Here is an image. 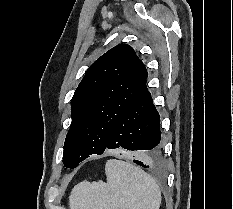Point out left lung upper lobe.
I'll list each match as a JSON object with an SVG mask.
<instances>
[{
	"instance_id": "5c2ea615",
	"label": "left lung upper lobe",
	"mask_w": 233,
	"mask_h": 209,
	"mask_svg": "<svg viewBox=\"0 0 233 209\" xmlns=\"http://www.w3.org/2000/svg\"><path fill=\"white\" fill-rule=\"evenodd\" d=\"M148 76L134 49L119 44L85 72L72 98V122L64 143L63 164L75 168L102 154L114 125Z\"/></svg>"
}]
</instances>
